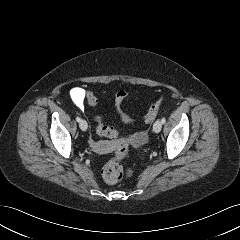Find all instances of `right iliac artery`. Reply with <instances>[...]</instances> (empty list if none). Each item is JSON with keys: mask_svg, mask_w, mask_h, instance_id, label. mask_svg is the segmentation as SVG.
<instances>
[{"mask_svg": "<svg viewBox=\"0 0 240 240\" xmlns=\"http://www.w3.org/2000/svg\"><path fill=\"white\" fill-rule=\"evenodd\" d=\"M76 120H77V122H80L81 121V118L80 117H76Z\"/></svg>", "mask_w": 240, "mask_h": 240, "instance_id": "obj_1", "label": "right iliac artery"}]
</instances>
